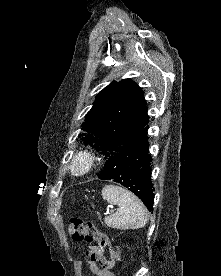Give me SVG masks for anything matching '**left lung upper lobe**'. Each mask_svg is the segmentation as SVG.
Masks as SVG:
<instances>
[{
	"label": "left lung upper lobe",
	"mask_w": 221,
	"mask_h": 276,
	"mask_svg": "<svg viewBox=\"0 0 221 276\" xmlns=\"http://www.w3.org/2000/svg\"><path fill=\"white\" fill-rule=\"evenodd\" d=\"M148 122L142 89L131 79L113 81L96 96L78 137L107 160L134 144Z\"/></svg>",
	"instance_id": "left-lung-upper-lobe-1"
}]
</instances>
